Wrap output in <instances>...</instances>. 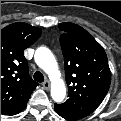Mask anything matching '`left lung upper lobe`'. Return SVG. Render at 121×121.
Listing matches in <instances>:
<instances>
[{
    "label": "left lung upper lobe",
    "instance_id": "obj_1",
    "mask_svg": "<svg viewBox=\"0 0 121 121\" xmlns=\"http://www.w3.org/2000/svg\"><path fill=\"white\" fill-rule=\"evenodd\" d=\"M64 33L60 44L65 60L68 99L56 104L58 114L67 120H79L91 114L103 101L111 72L102 46L82 27L59 24Z\"/></svg>",
    "mask_w": 121,
    "mask_h": 121
}]
</instances>
